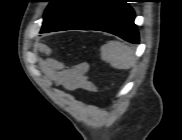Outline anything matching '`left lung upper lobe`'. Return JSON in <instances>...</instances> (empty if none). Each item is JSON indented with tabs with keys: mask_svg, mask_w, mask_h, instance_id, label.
<instances>
[{
	"mask_svg": "<svg viewBox=\"0 0 182 140\" xmlns=\"http://www.w3.org/2000/svg\"><path fill=\"white\" fill-rule=\"evenodd\" d=\"M106 0H50L41 33L67 30Z\"/></svg>",
	"mask_w": 182,
	"mask_h": 140,
	"instance_id": "obj_1",
	"label": "left lung upper lobe"
}]
</instances>
